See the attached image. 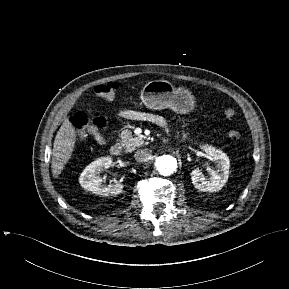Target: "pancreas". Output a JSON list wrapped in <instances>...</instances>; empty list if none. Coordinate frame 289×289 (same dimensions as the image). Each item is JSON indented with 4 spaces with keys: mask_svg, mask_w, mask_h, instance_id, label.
<instances>
[{
    "mask_svg": "<svg viewBox=\"0 0 289 289\" xmlns=\"http://www.w3.org/2000/svg\"><path fill=\"white\" fill-rule=\"evenodd\" d=\"M120 137L121 146L124 147L126 152H132L144 143V140L141 137H133L132 132L128 129L123 130ZM185 138H187V136L186 134H183V139Z\"/></svg>",
    "mask_w": 289,
    "mask_h": 289,
    "instance_id": "cf45deb5",
    "label": "pancreas"
}]
</instances>
